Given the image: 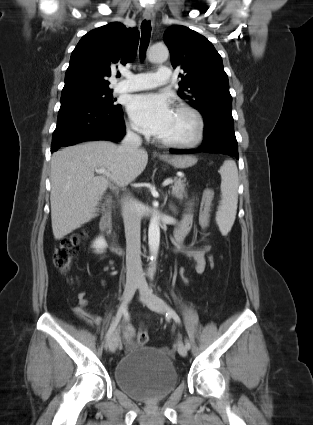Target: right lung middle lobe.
<instances>
[{"mask_svg":"<svg viewBox=\"0 0 313 425\" xmlns=\"http://www.w3.org/2000/svg\"><path fill=\"white\" fill-rule=\"evenodd\" d=\"M110 88L105 89H82V90H76L72 91L66 94H62L61 98L63 97H79L84 98L90 101H93L95 103H98L100 105H103L108 108H118L121 107L119 104H115L113 97L111 95Z\"/></svg>","mask_w":313,"mask_h":425,"instance_id":"dd1d6c3e","label":"right lung middle lobe"}]
</instances>
